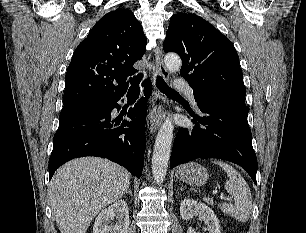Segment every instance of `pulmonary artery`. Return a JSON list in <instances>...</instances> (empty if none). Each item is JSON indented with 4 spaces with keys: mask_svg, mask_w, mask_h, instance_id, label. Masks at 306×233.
<instances>
[{
    "mask_svg": "<svg viewBox=\"0 0 306 233\" xmlns=\"http://www.w3.org/2000/svg\"><path fill=\"white\" fill-rule=\"evenodd\" d=\"M175 88L179 91H182L184 92L185 94H187V96L189 97V99L195 103V100H194V90L188 85L185 83V81L183 80H176L175 82Z\"/></svg>",
    "mask_w": 306,
    "mask_h": 233,
    "instance_id": "1",
    "label": "pulmonary artery"
}]
</instances>
